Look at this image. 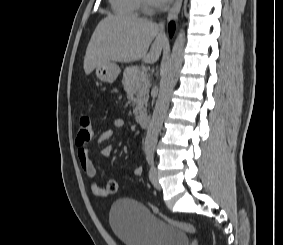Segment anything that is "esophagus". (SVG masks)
I'll use <instances>...</instances> for the list:
<instances>
[{
	"instance_id": "esophagus-1",
	"label": "esophagus",
	"mask_w": 283,
	"mask_h": 245,
	"mask_svg": "<svg viewBox=\"0 0 283 245\" xmlns=\"http://www.w3.org/2000/svg\"><path fill=\"white\" fill-rule=\"evenodd\" d=\"M182 1L183 0H175L173 6L171 7V9L168 13V17H167L168 22H170L171 20H174L178 17V14H179L181 6H182Z\"/></svg>"
}]
</instances>
